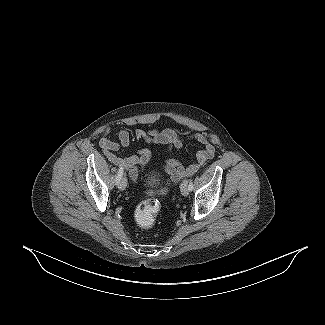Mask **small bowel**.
<instances>
[{
    "label": "small bowel",
    "mask_w": 325,
    "mask_h": 325,
    "mask_svg": "<svg viewBox=\"0 0 325 325\" xmlns=\"http://www.w3.org/2000/svg\"><path fill=\"white\" fill-rule=\"evenodd\" d=\"M108 130L105 131L104 136L99 141V146L107 159L115 165L125 168L131 180L136 183L139 177L138 167L144 170L152 161L154 154L148 149H139L136 155L127 158H119L115 155L120 147H128L131 142L130 133L122 129L118 132V142L112 141L108 136ZM181 135H188V139L202 144L204 147L196 155V161L188 167L182 166L176 160H167L165 169L169 172L174 180H179L186 175L196 172L200 166L210 160L214 155V147L209 138L204 134L190 135L188 131H181L178 129H153L144 131L136 130L135 138L144 142H157L165 146V151H169L172 147L181 148L184 140Z\"/></svg>",
    "instance_id": "c3829d8e"
}]
</instances>
